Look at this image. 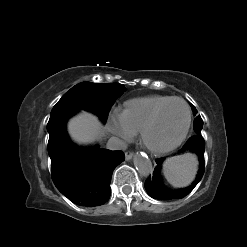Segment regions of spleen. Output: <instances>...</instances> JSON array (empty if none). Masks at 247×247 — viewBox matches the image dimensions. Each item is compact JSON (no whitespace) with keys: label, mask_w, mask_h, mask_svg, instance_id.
I'll return each instance as SVG.
<instances>
[{"label":"spleen","mask_w":247,"mask_h":247,"mask_svg":"<svg viewBox=\"0 0 247 247\" xmlns=\"http://www.w3.org/2000/svg\"><path fill=\"white\" fill-rule=\"evenodd\" d=\"M198 169L197 157L185 154L166 159L163 172L167 181L174 187H186L194 180Z\"/></svg>","instance_id":"3e777b00"}]
</instances>
